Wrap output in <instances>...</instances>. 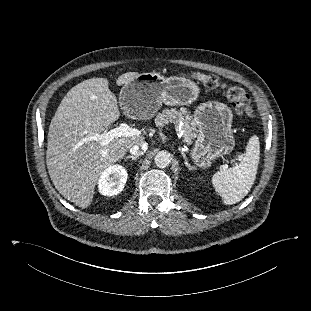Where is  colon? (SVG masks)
<instances>
[{
  "label": "colon",
  "instance_id": "1",
  "mask_svg": "<svg viewBox=\"0 0 311 311\" xmlns=\"http://www.w3.org/2000/svg\"><path fill=\"white\" fill-rule=\"evenodd\" d=\"M192 78L208 88H217L221 86L219 78L213 74H204L196 72ZM227 98L234 108L236 115L240 119L250 118L254 113V108L248 93L239 86H230L227 88Z\"/></svg>",
  "mask_w": 311,
  "mask_h": 311
}]
</instances>
